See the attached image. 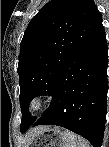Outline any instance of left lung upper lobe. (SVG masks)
<instances>
[{"label": "left lung upper lobe", "mask_w": 109, "mask_h": 147, "mask_svg": "<svg viewBox=\"0 0 109 147\" xmlns=\"http://www.w3.org/2000/svg\"><path fill=\"white\" fill-rule=\"evenodd\" d=\"M101 22L93 0H51L31 19L18 63L20 130L36 121L28 111L29 101L52 94L66 62Z\"/></svg>", "instance_id": "1"}]
</instances>
